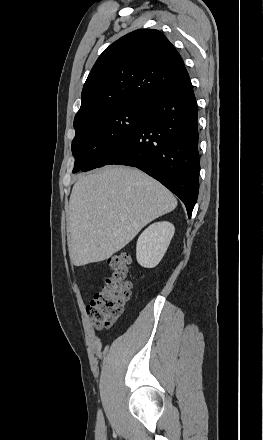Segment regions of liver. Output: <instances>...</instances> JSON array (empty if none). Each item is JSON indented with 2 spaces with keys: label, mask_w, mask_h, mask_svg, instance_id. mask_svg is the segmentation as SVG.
Returning <instances> with one entry per match:
<instances>
[{
  "label": "liver",
  "mask_w": 263,
  "mask_h": 440,
  "mask_svg": "<svg viewBox=\"0 0 263 440\" xmlns=\"http://www.w3.org/2000/svg\"><path fill=\"white\" fill-rule=\"evenodd\" d=\"M177 200L155 179L125 166L81 176L69 201V256L75 266L100 262L124 248Z\"/></svg>",
  "instance_id": "obj_1"
}]
</instances>
